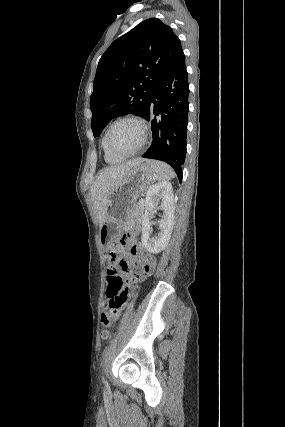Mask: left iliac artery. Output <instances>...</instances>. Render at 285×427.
I'll return each instance as SVG.
<instances>
[{"label":"left iliac artery","mask_w":285,"mask_h":427,"mask_svg":"<svg viewBox=\"0 0 285 427\" xmlns=\"http://www.w3.org/2000/svg\"><path fill=\"white\" fill-rule=\"evenodd\" d=\"M102 382L106 384V381H105L104 377H102Z\"/></svg>","instance_id":"44dca946"}]
</instances>
